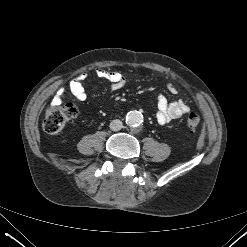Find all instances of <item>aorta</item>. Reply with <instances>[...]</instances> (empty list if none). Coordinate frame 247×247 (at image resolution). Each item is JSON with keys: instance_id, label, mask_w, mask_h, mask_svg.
<instances>
[{"instance_id": "762f6f07", "label": "aorta", "mask_w": 247, "mask_h": 247, "mask_svg": "<svg viewBox=\"0 0 247 247\" xmlns=\"http://www.w3.org/2000/svg\"><path fill=\"white\" fill-rule=\"evenodd\" d=\"M143 122V116L141 112L133 110L129 111L126 115V123L131 127H138Z\"/></svg>"}]
</instances>
